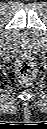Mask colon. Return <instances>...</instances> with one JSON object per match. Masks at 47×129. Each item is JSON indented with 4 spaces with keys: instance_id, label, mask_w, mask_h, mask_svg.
Instances as JSON below:
<instances>
[{
    "instance_id": "5ec220e1",
    "label": "colon",
    "mask_w": 47,
    "mask_h": 129,
    "mask_svg": "<svg viewBox=\"0 0 47 129\" xmlns=\"http://www.w3.org/2000/svg\"><path fill=\"white\" fill-rule=\"evenodd\" d=\"M18 73L23 83L31 82L36 74L35 65L30 61H22L18 64Z\"/></svg>"
}]
</instances>
